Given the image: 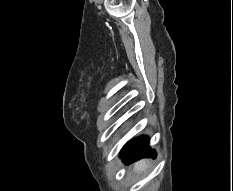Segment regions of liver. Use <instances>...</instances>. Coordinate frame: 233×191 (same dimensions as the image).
Returning <instances> with one entry per match:
<instances>
[{"label":"liver","mask_w":233,"mask_h":191,"mask_svg":"<svg viewBox=\"0 0 233 191\" xmlns=\"http://www.w3.org/2000/svg\"><path fill=\"white\" fill-rule=\"evenodd\" d=\"M148 167V161L147 160H140L134 164V171L136 173H141L145 171Z\"/></svg>","instance_id":"6515ba94"}]
</instances>
